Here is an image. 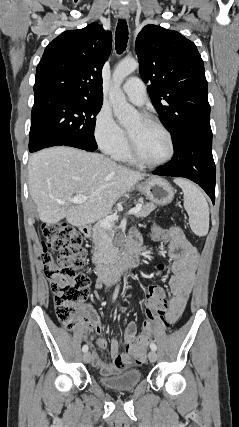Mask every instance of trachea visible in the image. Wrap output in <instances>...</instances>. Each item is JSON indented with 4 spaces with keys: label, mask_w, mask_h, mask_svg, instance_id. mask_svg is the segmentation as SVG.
<instances>
[{
    "label": "trachea",
    "mask_w": 239,
    "mask_h": 427,
    "mask_svg": "<svg viewBox=\"0 0 239 427\" xmlns=\"http://www.w3.org/2000/svg\"><path fill=\"white\" fill-rule=\"evenodd\" d=\"M128 42V27L125 20H119L115 33V46L118 54L125 51Z\"/></svg>",
    "instance_id": "3493384b"
}]
</instances>
